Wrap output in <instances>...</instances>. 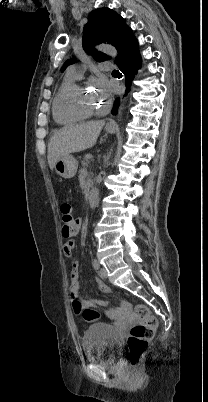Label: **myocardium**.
Instances as JSON below:
<instances>
[{"mask_svg": "<svg viewBox=\"0 0 208 402\" xmlns=\"http://www.w3.org/2000/svg\"><path fill=\"white\" fill-rule=\"evenodd\" d=\"M83 94L84 88L82 86L75 87L67 99V106L76 115L89 116L97 110V106L85 107L81 101Z\"/></svg>", "mask_w": 208, "mask_h": 402, "instance_id": "f54148a6", "label": "myocardium"}]
</instances>
